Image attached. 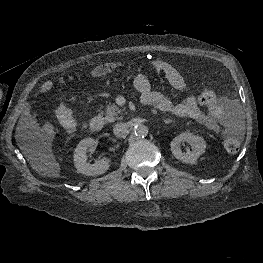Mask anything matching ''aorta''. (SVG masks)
Masks as SVG:
<instances>
[{
  "instance_id": "1",
  "label": "aorta",
  "mask_w": 263,
  "mask_h": 263,
  "mask_svg": "<svg viewBox=\"0 0 263 263\" xmlns=\"http://www.w3.org/2000/svg\"><path fill=\"white\" fill-rule=\"evenodd\" d=\"M148 132V128L145 125H138L134 128V134L140 138L147 136Z\"/></svg>"
}]
</instances>
